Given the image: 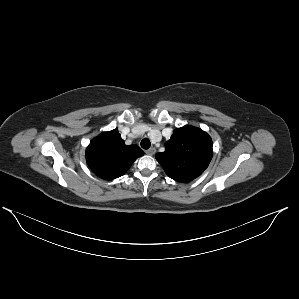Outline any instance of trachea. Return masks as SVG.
Wrapping results in <instances>:
<instances>
[{
    "label": "trachea",
    "instance_id": "3493384b",
    "mask_svg": "<svg viewBox=\"0 0 299 299\" xmlns=\"http://www.w3.org/2000/svg\"><path fill=\"white\" fill-rule=\"evenodd\" d=\"M151 146V142L148 138H144L142 141H141V147L143 149H149Z\"/></svg>",
    "mask_w": 299,
    "mask_h": 299
}]
</instances>
